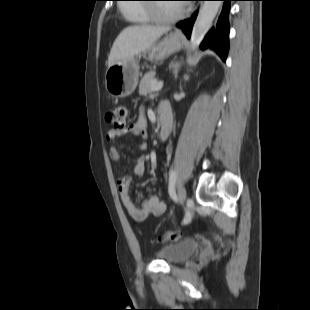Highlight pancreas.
<instances>
[{
    "label": "pancreas",
    "mask_w": 310,
    "mask_h": 310,
    "mask_svg": "<svg viewBox=\"0 0 310 310\" xmlns=\"http://www.w3.org/2000/svg\"><path fill=\"white\" fill-rule=\"evenodd\" d=\"M155 83H157L155 79V72L151 71L149 73H146L140 81L139 94L146 96L152 93V87Z\"/></svg>",
    "instance_id": "cf45deb5"
}]
</instances>
